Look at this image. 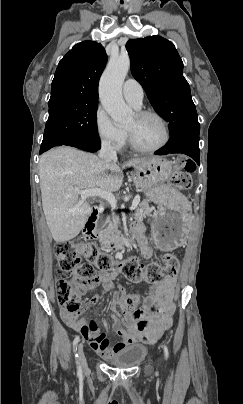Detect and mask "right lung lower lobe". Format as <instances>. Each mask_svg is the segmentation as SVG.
<instances>
[{
	"label": "right lung lower lobe",
	"mask_w": 243,
	"mask_h": 404,
	"mask_svg": "<svg viewBox=\"0 0 243 404\" xmlns=\"http://www.w3.org/2000/svg\"><path fill=\"white\" fill-rule=\"evenodd\" d=\"M68 146L76 147L89 152H96L101 148V144L98 141L84 140V139H72L67 142Z\"/></svg>",
	"instance_id": "98d812e1"
}]
</instances>
